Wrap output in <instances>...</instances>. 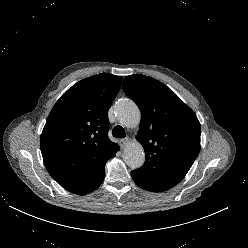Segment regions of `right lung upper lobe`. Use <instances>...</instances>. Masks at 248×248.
<instances>
[{"mask_svg": "<svg viewBox=\"0 0 248 248\" xmlns=\"http://www.w3.org/2000/svg\"><path fill=\"white\" fill-rule=\"evenodd\" d=\"M121 76L101 73L77 82L56 102L40 138L49 174L67 191L85 195L100 186L105 164L120 149L108 137V110Z\"/></svg>", "mask_w": 248, "mask_h": 248, "instance_id": "obj_1", "label": "right lung upper lobe"}]
</instances>
